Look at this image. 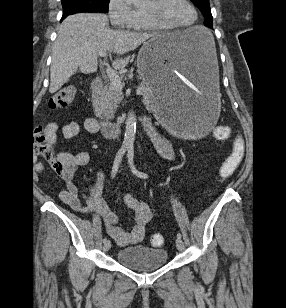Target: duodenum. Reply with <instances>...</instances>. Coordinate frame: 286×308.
Here are the masks:
<instances>
[{
	"mask_svg": "<svg viewBox=\"0 0 286 308\" xmlns=\"http://www.w3.org/2000/svg\"><path fill=\"white\" fill-rule=\"evenodd\" d=\"M103 87V80L101 78H95L92 81L91 88L93 92H97L101 90ZM149 123V120L143 118L141 120V124L144 126ZM99 127L102 133L107 137L118 136L123 132L124 123L123 122H112L102 120L99 122Z\"/></svg>",
	"mask_w": 286,
	"mask_h": 308,
	"instance_id": "obj_1",
	"label": "duodenum"
}]
</instances>
